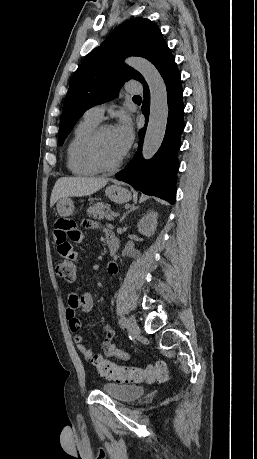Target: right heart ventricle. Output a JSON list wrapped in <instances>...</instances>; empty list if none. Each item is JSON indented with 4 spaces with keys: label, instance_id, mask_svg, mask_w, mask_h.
Here are the masks:
<instances>
[{
    "label": "right heart ventricle",
    "instance_id": "1",
    "mask_svg": "<svg viewBox=\"0 0 257 459\" xmlns=\"http://www.w3.org/2000/svg\"><path fill=\"white\" fill-rule=\"evenodd\" d=\"M98 124V120L85 115L72 133L67 145L66 156L67 167L74 175L90 176L99 172L85 159L83 154L84 143Z\"/></svg>",
    "mask_w": 257,
    "mask_h": 459
}]
</instances>
